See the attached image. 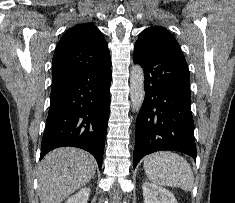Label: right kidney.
<instances>
[{
	"label": "right kidney",
	"mask_w": 235,
	"mask_h": 203,
	"mask_svg": "<svg viewBox=\"0 0 235 203\" xmlns=\"http://www.w3.org/2000/svg\"><path fill=\"white\" fill-rule=\"evenodd\" d=\"M90 188H82L78 193L69 197L65 203H88Z\"/></svg>",
	"instance_id": "1"
}]
</instances>
